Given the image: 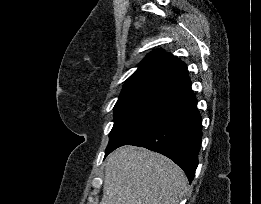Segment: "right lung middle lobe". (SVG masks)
<instances>
[{"label": "right lung middle lobe", "instance_id": "dd1d6c3e", "mask_svg": "<svg viewBox=\"0 0 261 204\" xmlns=\"http://www.w3.org/2000/svg\"><path fill=\"white\" fill-rule=\"evenodd\" d=\"M167 96L168 94L158 92H136L120 95L113 109L114 126L109 134L106 151L112 148Z\"/></svg>", "mask_w": 261, "mask_h": 204}]
</instances>
